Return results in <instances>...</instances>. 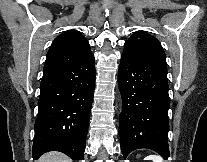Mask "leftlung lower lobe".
<instances>
[{
	"label": "left lung lower lobe",
	"instance_id": "left-lung-lower-lobe-1",
	"mask_svg": "<svg viewBox=\"0 0 207 162\" xmlns=\"http://www.w3.org/2000/svg\"><path fill=\"white\" fill-rule=\"evenodd\" d=\"M122 96L119 135L124 158L141 148L169 157L167 69L122 55L118 72Z\"/></svg>",
	"mask_w": 207,
	"mask_h": 162
}]
</instances>
